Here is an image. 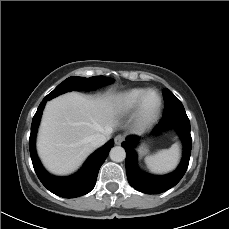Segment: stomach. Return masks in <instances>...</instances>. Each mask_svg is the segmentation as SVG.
I'll return each mask as SVG.
<instances>
[{
  "label": "stomach",
  "mask_w": 229,
  "mask_h": 229,
  "mask_svg": "<svg viewBox=\"0 0 229 229\" xmlns=\"http://www.w3.org/2000/svg\"><path fill=\"white\" fill-rule=\"evenodd\" d=\"M138 152L140 155H145L148 152V147L145 144H142L139 149Z\"/></svg>",
  "instance_id": "stomach-1"
}]
</instances>
